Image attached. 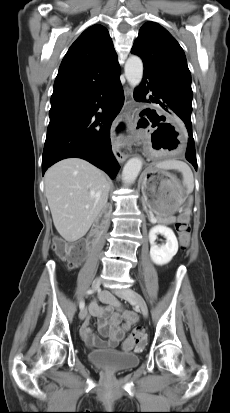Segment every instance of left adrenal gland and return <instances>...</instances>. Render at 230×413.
I'll list each match as a JSON object with an SVG mask.
<instances>
[{
	"instance_id": "obj_1",
	"label": "left adrenal gland",
	"mask_w": 230,
	"mask_h": 413,
	"mask_svg": "<svg viewBox=\"0 0 230 413\" xmlns=\"http://www.w3.org/2000/svg\"><path fill=\"white\" fill-rule=\"evenodd\" d=\"M143 207H144V210L146 211V213H147V215H148V218H150V217H149V213H148V211H147V208H146L145 204H143Z\"/></svg>"
}]
</instances>
